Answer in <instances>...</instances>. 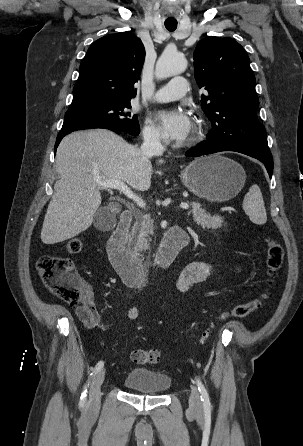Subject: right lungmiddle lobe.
<instances>
[{
  "instance_id": "1",
  "label": "right lung middle lobe",
  "mask_w": 303,
  "mask_h": 446,
  "mask_svg": "<svg viewBox=\"0 0 303 446\" xmlns=\"http://www.w3.org/2000/svg\"><path fill=\"white\" fill-rule=\"evenodd\" d=\"M130 100L114 101L99 105L68 109L61 131L86 122L109 123L130 135H138L140 127L137 115L128 112Z\"/></svg>"
}]
</instances>
